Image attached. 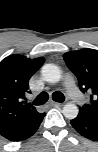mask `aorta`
<instances>
[{
  "instance_id": "1",
  "label": "aorta",
  "mask_w": 98,
  "mask_h": 152,
  "mask_svg": "<svg viewBox=\"0 0 98 152\" xmlns=\"http://www.w3.org/2000/svg\"><path fill=\"white\" fill-rule=\"evenodd\" d=\"M42 77L49 83H57L60 81L62 75L58 66L54 64H45L41 70ZM63 115L68 119H74L77 117L79 109L73 103H67L63 107Z\"/></svg>"
}]
</instances>
